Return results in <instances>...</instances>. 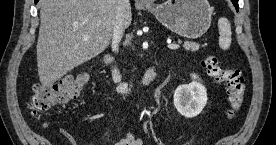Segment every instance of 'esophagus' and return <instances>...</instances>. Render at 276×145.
<instances>
[{
    "label": "esophagus",
    "mask_w": 276,
    "mask_h": 145,
    "mask_svg": "<svg viewBox=\"0 0 276 145\" xmlns=\"http://www.w3.org/2000/svg\"><path fill=\"white\" fill-rule=\"evenodd\" d=\"M140 2H141V3H144V4H149V3H151L150 0H140Z\"/></svg>",
    "instance_id": "obj_1"
}]
</instances>
